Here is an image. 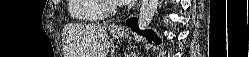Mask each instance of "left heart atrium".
<instances>
[{
    "instance_id": "left-heart-atrium-1",
    "label": "left heart atrium",
    "mask_w": 249,
    "mask_h": 57,
    "mask_svg": "<svg viewBox=\"0 0 249 57\" xmlns=\"http://www.w3.org/2000/svg\"><path fill=\"white\" fill-rule=\"evenodd\" d=\"M116 2L120 5H124V4H129L132 3L133 0H116Z\"/></svg>"
}]
</instances>
